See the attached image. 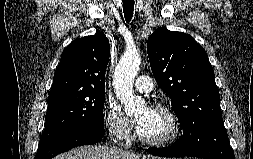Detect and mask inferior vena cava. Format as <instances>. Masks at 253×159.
<instances>
[{
    "label": "inferior vena cava",
    "instance_id": "inferior-vena-cava-1",
    "mask_svg": "<svg viewBox=\"0 0 253 159\" xmlns=\"http://www.w3.org/2000/svg\"><path fill=\"white\" fill-rule=\"evenodd\" d=\"M113 142H114V144H116V145L119 146V148H118L116 145L113 146L114 149L122 150V149L120 148V146H121L122 144L120 143V141H119V143H118V139H117V138L113 139Z\"/></svg>",
    "mask_w": 253,
    "mask_h": 159
}]
</instances>
